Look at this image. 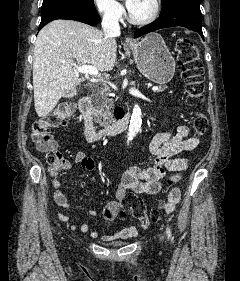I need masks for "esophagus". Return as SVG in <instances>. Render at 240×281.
<instances>
[{
	"label": "esophagus",
	"mask_w": 240,
	"mask_h": 281,
	"mask_svg": "<svg viewBox=\"0 0 240 281\" xmlns=\"http://www.w3.org/2000/svg\"><path fill=\"white\" fill-rule=\"evenodd\" d=\"M125 44L127 46H133L135 44V42L131 37H125Z\"/></svg>",
	"instance_id": "1"
}]
</instances>
